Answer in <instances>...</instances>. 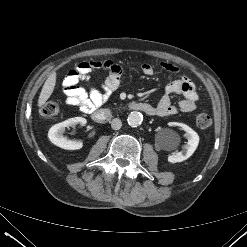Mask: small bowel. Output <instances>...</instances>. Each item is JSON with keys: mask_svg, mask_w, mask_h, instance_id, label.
<instances>
[{"mask_svg": "<svg viewBox=\"0 0 247 247\" xmlns=\"http://www.w3.org/2000/svg\"><path fill=\"white\" fill-rule=\"evenodd\" d=\"M161 67L170 74H177L179 69L171 63H162ZM97 70L107 71V76L100 88L85 89L79 86L80 82H89L91 74ZM144 75H154V67L149 63L141 66ZM123 70L117 63L104 61H86L79 63L72 69L63 81V93L68 105L77 107L82 112L90 113L103 105L111 94L119 87ZM172 94H181L183 99L174 105L171 102ZM198 92L193 82L186 76L170 81L165 85L164 94L155 106L156 115L166 117L178 112H192L197 107Z\"/></svg>", "mask_w": 247, "mask_h": 247, "instance_id": "obj_1", "label": "small bowel"}]
</instances>
